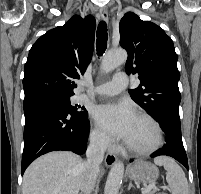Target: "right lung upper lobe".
I'll list each match as a JSON object with an SVG mask.
<instances>
[{
  "instance_id": "right-lung-upper-lobe-1",
  "label": "right lung upper lobe",
  "mask_w": 201,
  "mask_h": 194,
  "mask_svg": "<svg viewBox=\"0 0 201 194\" xmlns=\"http://www.w3.org/2000/svg\"><path fill=\"white\" fill-rule=\"evenodd\" d=\"M95 19L75 15L42 35L29 51L23 87L25 98L74 95V79L83 74L94 48Z\"/></svg>"
}]
</instances>
